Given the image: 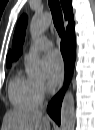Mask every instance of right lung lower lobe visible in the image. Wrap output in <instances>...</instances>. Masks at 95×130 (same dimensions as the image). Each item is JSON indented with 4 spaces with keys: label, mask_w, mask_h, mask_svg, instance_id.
<instances>
[{
    "label": "right lung lower lobe",
    "mask_w": 95,
    "mask_h": 130,
    "mask_svg": "<svg viewBox=\"0 0 95 130\" xmlns=\"http://www.w3.org/2000/svg\"><path fill=\"white\" fill-rule=\"evenodd\" d=\"M61 52L64 58L66 68L65 85L64 89L52 99L47 108L49 115L58 124H60V109L63 94L72 76L76 57L75 34L73 28L67 30L65 38L61 42Z\"/></svg>",
    "instance_id": "1"
}]
</instances>
